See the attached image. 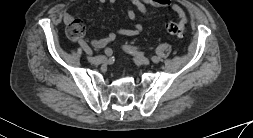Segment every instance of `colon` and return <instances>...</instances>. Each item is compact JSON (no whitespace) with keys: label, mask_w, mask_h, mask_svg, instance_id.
Instances as JSON below:
<instances>
[{"label":"colon","mask_w":253,"mask_h":138,"mask_svg":"<svg viewBox=\"0 0 253 138\" xmlns=\"http://www.w3.org/2000/svg\"><path fill=\"white\" fill-rule=\"evenodd\" d=\"M67 25H68L67 34L71 39L78 40L83 37L85 33V25L81 20L74 19L72 22H70ZM165 29L168 34L177 38H182L185 33L184 25L178 24L175 22H168L165 25Z\"/></svg>","instance_id":"1"}]
</instances>
